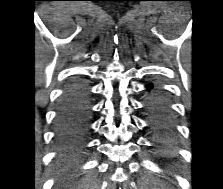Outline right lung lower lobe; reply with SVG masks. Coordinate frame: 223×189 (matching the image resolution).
Listing matches in <instances>:
<instances>
[{"instance_id":"right-lung-lower-lobe-1","label":"right lung lower lobe","mask_w":223,"mask_h":189,"mask_svg":"<svg viewBox=\"0 0 223 189\" xmlns=\"http://www.w3.org/2000/svg\"><path fill=\"white\" fill-rule=\"evenodd\" d=\"M91 101L88 83L74 78L61 96L55 120V141L63 152L80 148L89 131Z\"/></svg>"}]
</instances>
